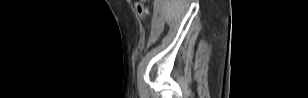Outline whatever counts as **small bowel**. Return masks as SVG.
<instances>
[{"label":"small bowel","instance_id":"obj_1","mask_svg":"<svg viewBox=\"0 0 308 98\" xmlns=\"http://www.w3.org/2000/svg\"><path fill=\"white\" fill-rule=\"evenodd\" d=\"M160 29H158V28H153L152 29V33H151V37H150V45H152L156 40H157V38H158V36H159V34H160Z\"/></svg>","mask_w":308,"mask_h":98}]
</instances>
